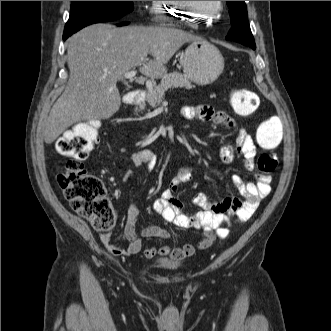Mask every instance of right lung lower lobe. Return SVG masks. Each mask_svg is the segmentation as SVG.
Segmentation results:
<instances>
[{"label": "right lung lower lobe", "mask_w": 331, "mask_h": 331, "mask_svg": "<svg viewBox=\"0 0 331 331\" xmlns=\"http://www.w3.org/2000/svg\"><path fill=\"white\" fill-rule=\"evenodd\" d=\"M119 26L126 25L128 23H116ZM70 35H63V40H66Z\"/></svg>", "instance_id": "obj_1"}]
</instances>
